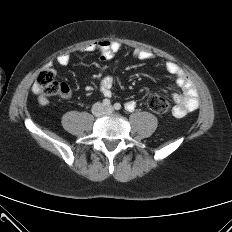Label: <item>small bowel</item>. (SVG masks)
Wrapping results in <instances>:
<instances>
[{
    "instance_id": "obj_1",
    "label": "small bowel",
    "mask_w": 232,
    "mask_h": 232,
    "mask_svg": "<svg viewBox=\"0 0 232 232\" xmlns=\"http://www.w3.org/2000/svg\"><path fill=\"white\" fill-rule=\"evenodd\" d=\"M122 49V44L114 40H100L94 43L85 45L82 49V53H90L94 51L100 52L103 59H109L118 53ZM134 56L141 61H152L154 55L145 49H135ZM71 61V57L67 53L60 54L57 58V63L60 66H67ZM166 70L175 77L176 84L181 89L180 93H173L172 99L175 103L174 115L177 117L185 116L187 113L196 110L199 106L198 91L192 79L187 73L176 63L167 61L165 63ZM64 92L62 97L67 99L71 97V90L66 84H62ZM100 91L106 96L110 97L114 91V79L110 74H104L100 79ZM33 92L38 96V102L42 106L48 104L46 97L39 94L36 86H33ZM134 101H127L125 103L126 108H135Z\"/></svg>"
}]
</instances>
